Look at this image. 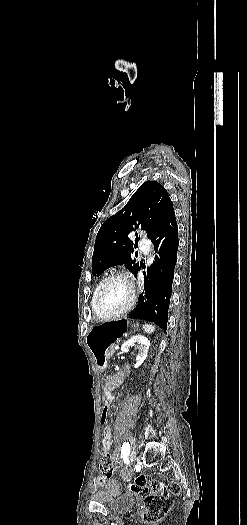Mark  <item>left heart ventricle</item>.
<instances>
[{"label":"left heart ventricle","mask_w":247,"mask_h":525,"mask_svg":"<svg viewBox=\"0 0 247 525\" xmlns=\"http://www.w3.org/2000/svg\"><path fill=\"white\" fill-rule=\"evenodd\" d=\"M132 283L126 278H112L100 289L97 303L102 309H113L127 302Z\"/></svg>","instance_id":"b2bd125f"}]
</instances>
